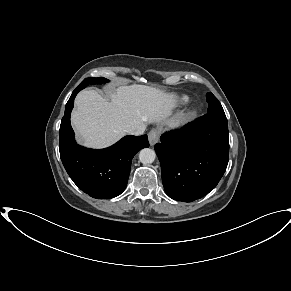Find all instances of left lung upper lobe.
Returning a JSON list of instances; mask_svg holds the SVG:
<instances>
[{
	"mask_svg": "<svg viewBox=\"0 0 291 291\" xmlns=\"http://www.w3.org/2000/svg\"><path fill=\"white\" fill-rule=\"evenodd\" d=\"M206 98L208 102V114H225L220 102L211 92L206 94Z\"/></svg>",
	"mask_w": 291,
	"mask_h": 291,
	"instance_id": "obj_1",
	"label": "left lung upper lobe"
}]
</instances>
